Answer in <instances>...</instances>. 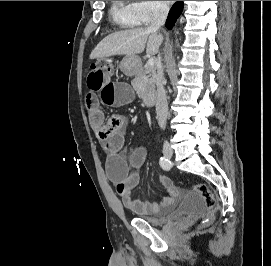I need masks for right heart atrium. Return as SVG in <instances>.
Returning <instances> with one entry per match:
<instances>
[{
  "mask_svg": "<svg viewBox=\"0 0 271 266\" xmlns=\"http://www.w3.org/2000/svg\"><path fill=\"white\" fill-rule=\"evenodd\" d=\"M136 21L140 25L149 24L163 15L167 9L163 1H136L131 3Z\"/></svg>",
  "mask_w": 271,
  "mask_h": 266,
  "instance_id": "d8ad5b80",
  "label": "right heart atrium"
}]
</instances>
